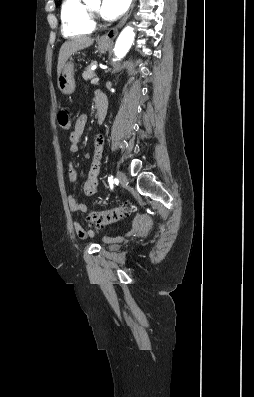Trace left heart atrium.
Listing matches in <instances>:
<instances>
[{"label": "left heart atrium", "mask_w": 254, "mask_h": 397, "mask_svg": "<svg viewBox=\"0 0 254 397\" xmlns=\"http://www.w3.org/2000/svg\"><path fill=\"white\" fill-rule=\"evenodd\" d=\"M131 0H102L100 13L107 19H116L128 8Z\"/></svg>", "instance_id": "obj_1"}]
</instances>
